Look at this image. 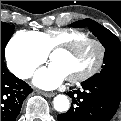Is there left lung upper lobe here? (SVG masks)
<instances>
[{
    "instance_id": "obj_1",
    "label": "left lung upper lobe",
    "mask_w": 121,
    "mask_h": 121,
    "mask_svg": "<svg viewBox=\"0 0 121 121\" xmlns=\"http://www.w3.org/2000/svg\"><path fill=\"white\" fill-rule=\"evenodd\" d=\"M72 27H88L105 47L102 70L92 78H108L121 83V43L119 39L111 31L91 19L77 21L72 24Z\"/></svg>"
}]
</instances>
